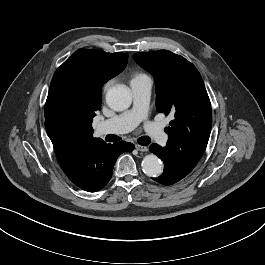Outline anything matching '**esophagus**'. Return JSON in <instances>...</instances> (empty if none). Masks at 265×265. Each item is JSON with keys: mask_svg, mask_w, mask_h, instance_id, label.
Instances as JSON below:
<instances>
[{"mask_svg": "<svg viewBox=\"0 0 265 265\" xmlns=\"http://www.w3.org/2000/svg\"><path fill=\"white\" fill-rule=\"evenodd\" d=\"M135 147L140 152H146L148 150L147 146H143V145H139V144H136Z\"/></svg>", "mask_w": 265, "mask_h": 265, "instance_id": "34e87169", "label": "esophagus"}]
</instances>
